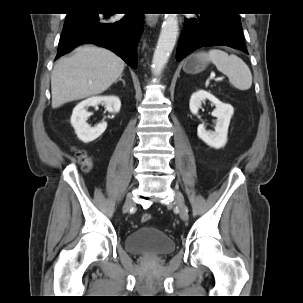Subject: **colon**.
I'll list each match as a JSON object with an SVG mask.
<instances>
[{
  "label": "colon",
  "mask_w": 303,
  "mask_h": 303,
  "mask_svg": "<svg viewBox=\"0 0 303 303\" xmlns=\"http://www.w3.org/2000/svg\"><path fill=\"white\" fill-rule=\"evenodd\" d=\"M78 157L80 161L83 163L84 168L89 169L91 165L89 157L83 152L79 153ZM150 220H151V215L149 213H143L141 215V222L146 223Z\"/></svg>",
  "instance_id": "5ec220e1"
}]
</instances>
